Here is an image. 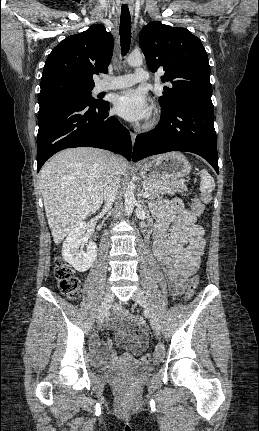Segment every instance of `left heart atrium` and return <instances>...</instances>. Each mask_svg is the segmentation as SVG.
Segmentation results:
<instances>
[{"label":"left heart atrium","mask_w":259,"mask_h":431,"mask_svg":"<svg viewBox=\"0 0 259 431\" xmlns=\"http://www.w3.org/2000/svg\"><path fill=\"white\" fill-rule=\"evenodd\" d=\"M114 111L129 121L138 122L150 116L151 107L143 92L130 89L115 97Z\"/></svg>","instance_id":"39dd6f15"}]
</instances>
